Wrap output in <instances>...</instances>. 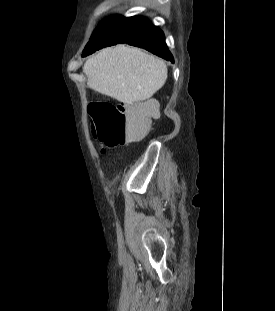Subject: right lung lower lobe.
I'll return each mask as SVG.
<instances>
[{
  "label": "right lung lower lobe",
  "instance_id": "1",
  "mask_svg": "<svg viewBox=\"0 0 275 311\" xmlns=\"http://www.w3.org/2000/svg\"><path fill=\"white\" fill-rule=\"evenodd\" d=\"M121 43L144 48L147 51L174 63V58L165 43V35L163 31L147 21L137 26V28Z\"/></svg>",
  "mask_w": 275,
  "mask_h": 311
}]
</instances>
